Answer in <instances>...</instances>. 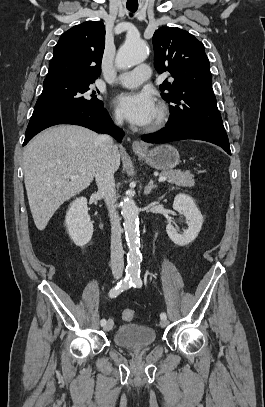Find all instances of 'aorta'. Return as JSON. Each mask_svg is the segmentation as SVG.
Returning a JSON list of instances; mask_svg holds the SVG:
<instances>
[{
	"label": "aorta",
	"instance_id": "obj_1",
	"mask_svg": "<svg viewBox=\"0 0 265 407\" xmlns=\"http://www.w3.org/2000/svg\"><path fill=\"white\" fill-rule=\"evenodd\" d=\"M149 53L148 46L141 39L127 38L117 52L115 64L119 69H127L143 62ZM139 210L130 195H126L122 203L124 230L128 245L126 273L136 276L140 272L142 261L139 251Z\"/></svg>",
	"mask_w": 265,
	"mask_h": 407
}]
</instances>
